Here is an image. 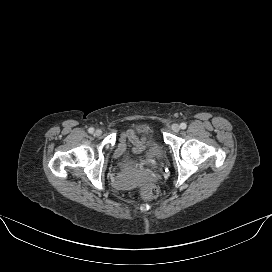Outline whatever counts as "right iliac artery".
Here are the masks:
<instances>
[{
	"mask_svg": "<svg viewBox=\"0 0 272 272\" xmlns=\"http://www.w3.org/2000/svg\"><path fill=\"white\" fill-rule=\"evenodd\" d=\"M88 132H89V133H93V132H94V128H92V127L89 128V129H88Z\"/></svg>",
	"mask_w": 272,
	"mask_h": 272,
	"instance_id": "82829eb1",
	"label": "right iliac artery"
}]
</instances>
